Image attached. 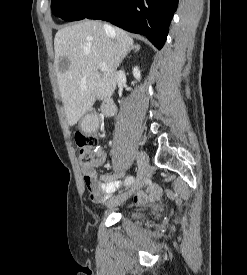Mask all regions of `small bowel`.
Segmentation results:
<instances>
[{"instance_id": "obj_1", "label": "small bowel", "mask_w": 247, "mask_h": 275, "mask_svg": "<svg viewBox=\"0 0 247 275\" xmlns=\"http://www.w3.org/2000/svg\"><path fill=\"white\" fill-rule=\"evenodd\" d=\"M87 123L92 128H96L98 125L97 120L93 117L89 118ZM105 160L106 152L103 149L98 148L96 150V157L91 163V168L83 171V179L85 186L89 191L90 199L96 203L105 201L110 194L118 190L121 186L120 178L125 175V172L121 171L115 174L98 176L95 168L100 166ZM161 193L162 190L159 185L149 183L146 191H140L135 195L134 201L136 203L152 201L159 198Z\"/></svg>"}]
</instances>
